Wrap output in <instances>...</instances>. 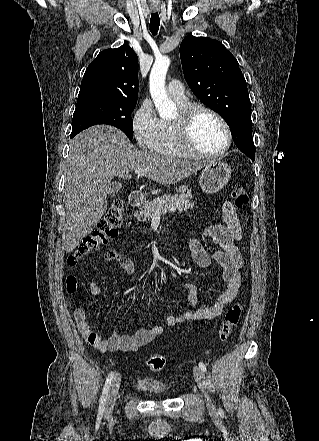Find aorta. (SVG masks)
I'll list each match as a JSON object with an SVG mask.
<instances>
[{
	"label": "aorta",
	"instance_id": "aorta-1",
	"mask_svg": "<svg viewBox=\"0 0 319 441\" xmlns=\"http://www.w3.org/2000/svg\"><path fill=\"white\" fill-rule=\"evenodd\" d=\"M170 65L168 56L156 58L150 73L149 87L152 100L162 119H171L176 112V105L168 97L165 78Z\"/></svg>",
	"mask_w": 319,
	"mask_h": 441
}]
</instances>
